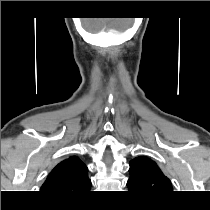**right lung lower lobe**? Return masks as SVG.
<instances>
[{"instance_id": "1", "label": "right lung lower lobe", "mask_w": 210, "mask_h": 210, "mask_svg": "<svg viewBox=\"0 0 210 210\" xmlns=\"http://www.w3.org/2000/svg\"><path fill=\"white\" fill-rule=\"evenodd\" d=\"M58 200H61V199H58ZM74 200H78V199H62L61 201H74Z\"/></svg>"}]
</instances>
